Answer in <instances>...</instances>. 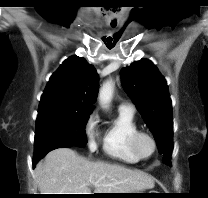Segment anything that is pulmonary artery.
<instances>
[{
	"mask_svg": "<svg viewBox=\"0 0 208 198\" xmlns=\"http://www.w3.org/2000/svg\"><path fill=\"white\" fill-rule=\"evenodd\" d=\"M119 110L133 113L134 112V107L130 103L123 102L119 105Z\"/></svg>",
	"mask_w": 208,
	"mask_h": 198,
	"instance_id": "1",
	"label": "pulmonary artery"
}]
</instances>
